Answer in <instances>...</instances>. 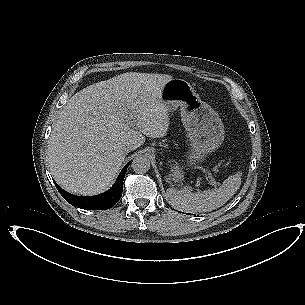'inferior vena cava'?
I'll use <instances>...</instances> for the list:
<instances>
[{
	"label": "inferior vena cava",
	"instance_id": "obj_1",
	"mask_svg": "<svg viewBox=\"0 0 305 305\" xmlns=\"http://www.w3.org/2000/svg\"><path fill=\"white\" fill-rule=\"evenodd\" d=\"M135 149H136L135 145L132 144H126L123 146V150L126 154Z\"/></svg>",
	"mask_w": 305,
	"mask_h": 305
}]
</instances>
